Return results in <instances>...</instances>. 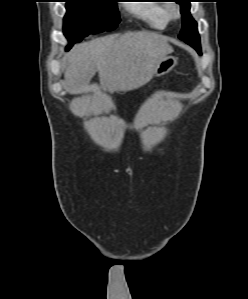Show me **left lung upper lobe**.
<instances>
[{
	"label": "left lung upper lobe",
	"instance_id": "5c2ea615",
	"mask_svg": "<svg viewBox=\"0 0 248 299\" xmlns=\"http://www.w3.org/2000/svg\"><path fill=\"white\" fill-rule=\"evenodd\" d=\"M176 2L181 6L183 25L178 37L195 48L198 53H201L200 37L197 31V23L190 14L191 0H176Z\"/></svg>",
	"mask_w": 248,
	"mask_h": 299
}]
</instances>
